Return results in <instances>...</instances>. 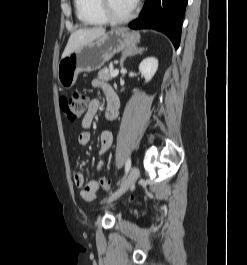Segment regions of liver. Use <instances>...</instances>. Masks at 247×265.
I'll return each instance as SVG.
<instances>
[{"label": "liver", "mask_w": 247, "mask_h": 265, "mask_svg": "<svg viewBox=\"0 0 247 265\" xmlns=\"http://www.w3.org/2000/svg\"><path fill=\"white\" fill-rule=\"evenodd\" d=\"M105 33L103 27H96L91 29H78L70 35L68 43L62 54V58L68 56L80 46L98 39Z\"/></svg>", "instance_id": "6515ba94"}]
</instances>
